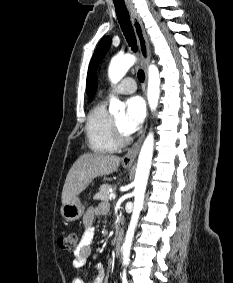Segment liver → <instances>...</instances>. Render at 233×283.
Instances as JSON below:
<instances>
[{"instance_id": "liver-1", "label": "liver", "mask_w": 233, "mask_h": 283, "mask_svg": "<svg viewBox=\"0 0 233 283\" xmlns=\"http://www.w3.org/2000/svg\"><path fill=\"white\" fill-rule=\"evenodd\" d=\"M120 157L103 153H84L70 168L62 191V204H66L84 191L93 179L117 170Z\"/></svg>"}]
</instances>
